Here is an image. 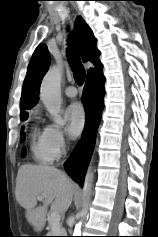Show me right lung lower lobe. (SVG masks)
Here are the masks:
<instances>
[{
	"instance_id": "98d812e1",
	"label": "right lung lower lobe",
	"mask_w": 158,
	"mask_h": 237,
	"mask_svg": "<svg viewBox=\"0 0 158 237\" xmlns=\"http://www.w3.org/2000/svg\"><path fill=\"white\" fill-rule=\"evenodd\" d=\"M104 78L102 71L98 70L86 78L82 95V103L86 112L85 127L77 146L65 163L68 175L80 186L91 157L98 125L103 110Z\"/></svg>"
}]
</instances>
